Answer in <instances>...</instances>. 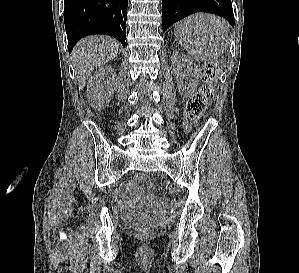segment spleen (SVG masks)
Returning <instances> with one entry per match:
<instances>
[{
  "instance_id": "obj_1",
  "label": "spleen",
  "mask_w": 299,
  "mask_h": 273,
  "mask_svg": "<svg viewBox=\"0 0 299 273\" xmlns=\"http://www.w3.org/2000/svg\"><path fill=\"white\" fill-rule=\"evenodd\" d=\"M229 24L220 17L198 13L175 25L178 42L196 61L206 62L219 58L229 45Z\"/></svg>"
}]
</instances>
